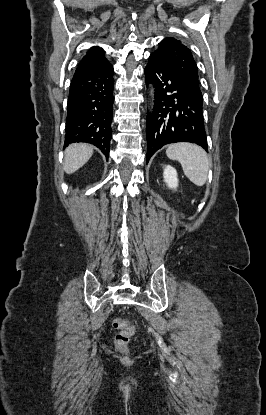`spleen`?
<instances>
[{"mask_svg": "<svg viewBox=\"0 0 266 415\" xmlns=\"http://www.w3.org/2000/svg\"><path fill=\"white\" fill-rule=\"evenodd\" d=\"M166 154L169 159L180 162L185 176L195 185L203 186L208 177L209 160L207 153L192 143L170 145Z\"/></svg>", "mask_w": 266, "mask_h": 415, "instance_id": "spleen-1", "label": "spleen"}]
</instances>
